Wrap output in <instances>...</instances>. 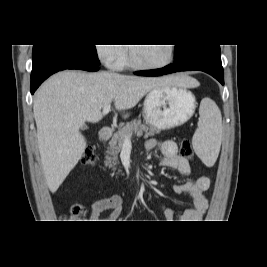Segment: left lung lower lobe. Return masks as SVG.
<instances>
[{"label":"left lung lower lobe","instance_id":"left-lung-lower-lobe-1","mask_svg":"<svg viewBox=\"0 0 267 267\" xmlns=\"http://www.w3.org/2000/svg\"><path fill=\"white\" fill-rule=\"evenodd\" d=\"M198 70L206 72L224 85L223 67L219 45H203L190 51L184 59L174 65H168L160 69L142 70L135 72L141 76H161L165 74Z\"/></svg>","mask_w":267,"mask_h":267}]
</instances>
